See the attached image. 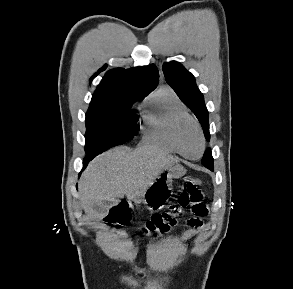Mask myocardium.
<instances>
[{"mask_svg": "<svg viewBox=\"0 0 293 289\" xmlns=\"http://www.w3.org/2000/svg\"><path fill=\"white\" fill-rule=\"evenodd\" d=\"M188 123L194 124V126L196 127V129L199 133V136H200L201 150L197 156L187 155L181 147L180 133H181L183 126H185ZM171 140L175 146L177 153L180 154L181 156H183L187 159H191V160H195V159L200 158L203 155L204 150H205V146H206L205 136H204V133H203V130H202L200 123L193 116H191L189 114L182 115V116L178 117L177 119H175V121L173 123V127H172V132H171Z\"/></svg>", "mask_w": 293, "mask_h": 289, "instance_id": "f54148a6", "label": "myocardium"}]
</instances>
